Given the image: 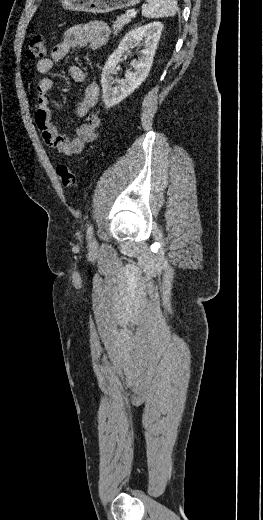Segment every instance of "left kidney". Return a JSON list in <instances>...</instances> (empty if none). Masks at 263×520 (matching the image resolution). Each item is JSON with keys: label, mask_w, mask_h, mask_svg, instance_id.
Returning a JSON list of instances; mask_svg holds the SVG:
<instances>
[{"label": "left kidney", "mask_w": 263, "mask_h": 520, "mask_svg": "<svg viewBox=\"0 0 263 520\" xmlns=\"http://www.w3.org/2000/svg\"><path fill=\"white\" fill-rule=\"evenodd\" d=\"M162 29V23L153 22L129 31L118 48L109 56L101 74L105 107L110 108L120 103L145 81L153 63ZM134 46L143 47L139 59L131 62L134 71L127 72L124 79L114 81L112 75L117 74V65L121 57ZM114 83L116 86L113 87Z\"/></svg>", "instance_id": "5707ae66"}]
</instances>
